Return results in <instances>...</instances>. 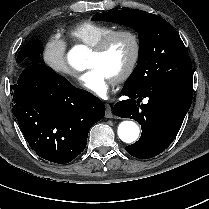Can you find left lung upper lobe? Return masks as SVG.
<instances>
[{
  "label": "left lung upper lobe",
  "instance_id": "obj_1",
  "mask_svg": "<svg viewBox=\"0 0 209 209\" xmlns=\"http://www.w3.org/2000/svg\"><path fill=\"white\" fill-rule=\"evenodd\" d=\"M93 20L111 21L139 34L138 63L124 86L142 88L192 76V64L179 34L163 18L138 9L98 13Z\"/></svg>",
  "mask_w": 209,
  "mask_h": 209
}]
</instances>
